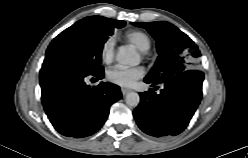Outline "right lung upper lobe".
<instances>
[{
	"label": "right lung upper lobe",
	"instance_id": "right-lung-upper-lobe-1",
	"mask_svg": "<svg viewBox=\"0 0 248 158\" xmlns=\"http://www.w3.org/2000/svg\"><path fill=\"white\" fill-rule=\"evenodd\" d=\"M87 18L97 22L98 25L102 27L103 29H108L109 27L114 26L121 22L120 20H113V19H109V18H105L101 16H90Z\"/></svg>",
	"mask_w": 248,
	"mask_h": 158
}]
</instances>
